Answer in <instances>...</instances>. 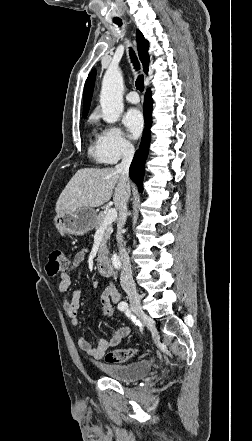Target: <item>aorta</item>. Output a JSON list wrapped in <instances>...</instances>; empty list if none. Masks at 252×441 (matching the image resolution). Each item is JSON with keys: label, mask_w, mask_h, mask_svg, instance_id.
<instances>
[{"label": "aorta", "mask_w": 252, "mask_h": 441, "mask_svg": "<svg viewBox=\"0 0 252 441\" xmlns=\"http://www.w3.org/2000/svg\"><path fill=\"white\" fill-rule=\"evenodd\" d=\"M123 76L119 69L109 68L102 81L100 94V104L102 108V118L107 123H115L118 121L123 112ZM112 264L115 269L121 267V261L117 254L111 257Z\"/></svg>", "instance_id": "762f6f07"}]
</instances>
